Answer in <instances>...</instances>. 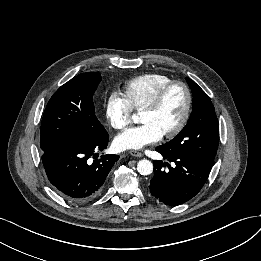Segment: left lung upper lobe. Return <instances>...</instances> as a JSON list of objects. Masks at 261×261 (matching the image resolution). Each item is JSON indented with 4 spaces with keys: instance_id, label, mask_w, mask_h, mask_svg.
Here are the masks:
<instances>
[{
    "instance_id": "5c2ea615",
    "label": "left lung upper lobe",
    "mask_w": 261,
    "mask_h": 261,
    "mask_svg": "<svg viewBox=\"0 0 261 261\" xmlns=\"http://www.w3.org/2000/svg\"><path fill=\"white\" fill-rule=\"evenodd\" d=\"M193 93V109L186 126L170 142L160 147L168 153H184L212 167L219 142V125L214 106L207 94L186 78Z\"/></svg>"
}]
</instances>
